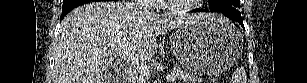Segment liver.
Listing matches in <instances>:
<instances>
[{"instance_id":"6515ba94","label":"liver","mask_w":307,"mask_h":83,"mask_svg":"<svg viewBox=\"0 0 307 83\" xmlns=\"http://www.w3.org/2000/svg\"><path fill=\"white\" fill-rule=\"evenodd\" d=\"M222 20L214 14L159 16L130 3L94 2L64 17L55 44L53 83H111L108 57L117 49L141 60L157 51V37L199 21ZM113 83V82H112Z\"/></svg>"}]
</instances>
